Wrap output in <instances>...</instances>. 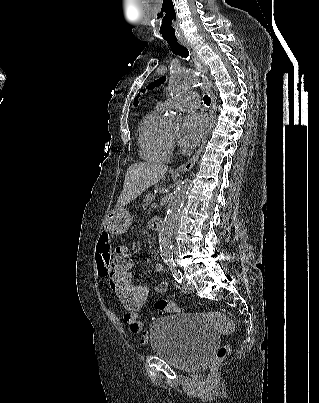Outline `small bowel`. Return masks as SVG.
<instances>
[{"label": "small bowel", "mask_w": 319, "mask_h": 403, "mask_svg": "<svg viewBox=\"0 0 319 403\" xmlns=\"http://www.w3.org/2000/svg\"><path fill=\"white\" fill-rule=\"evenodd\" d=\"M128 250V249H126ZM113 259L115 256L111 254V245L109 235L102 233L97 242L96 263L99 271V276L104 277V285L111 287L113 285ZM156 271L160 272L163 269L161 263L156 264ZM169 284L165 281L160 282L156 286L157 293H164L168 290ZM112 289V287H111ZM115 293V291H114ZM149 297V291H146V301ZM142 313H125L124 319L129 325L131 333L137 334L142 330Z\"/></svg>", "instance_id": "obj_1"}]
</instances>
